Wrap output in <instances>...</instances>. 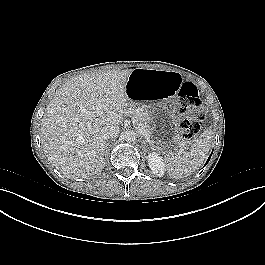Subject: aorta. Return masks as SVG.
Returning <instances> with one entry per match:
<instances>
[{
  "mask_svg": "<svg viewBox=\"0 0 265 265\" xmlns=\"http://www.w3.org/2000/svg\"><path fill=\"white\" fill-rule=\"evenodd\" d=\"M122 138L125 140V141H134L135 138H136V133L133 131V130H126L122 133Z\"/></svg>",
  "mask_w": 265,
  "mask_h": 265,
  "instance_id": "762f6f07",
  "label": "aorta"
}]
</instances>
